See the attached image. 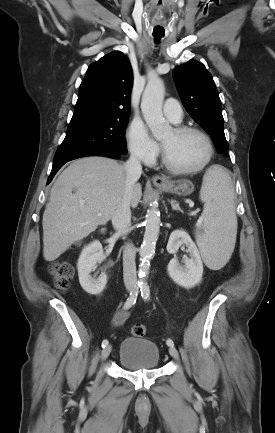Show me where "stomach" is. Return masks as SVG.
<instances>
[{
    "label": "stomach",
    "instance_id": "0dacf381",
    "mask_svg": "<svg viewBox=\"0 0 275 433\" xmlns=\"http://www.w3.org/2000/svg\"><path fill=\"white\" fill-rule=\"evenodd\" d=\"M155 186L162 191L172 193V194H177L179 196H187L194 191V185L189 180L174 181L166 185L156 184Z\"/></svg>",
    "mask_w": 275,
    "mask_h": 433
}]
</instances>
